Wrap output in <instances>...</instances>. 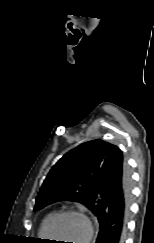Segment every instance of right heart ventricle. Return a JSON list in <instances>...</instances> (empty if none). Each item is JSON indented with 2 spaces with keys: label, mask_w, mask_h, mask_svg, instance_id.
I'll list each match as a JSON object with an SVG mask.
<instances>
[{
  "label": "right heart ventricle",
  "mask_w": 154,
  "mask_h": 243,
  "mask_svg": "<svg viewBox=\"0 0 154 243\" xmlns=\"http://www.w3.org/2000/svg\"><path fill=\"white\" fill-rule=\"evenodd\" d=\"M55 214L54 211H51L49 213H47L45 215V217L43 218L41 224H40V228H39V235L41 238L46 239L47 235H46V226L49 222V220L51 219V217Z\"/></svg>",
  "instance_id": "1"
}]
</instances>
